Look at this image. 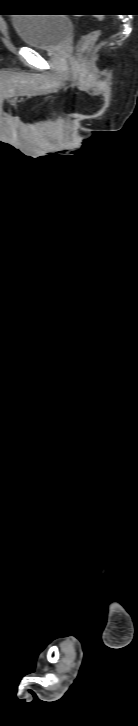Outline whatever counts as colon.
I'll use <instances>...</instances> for the list:
<instances>
[{"label":"colon","instance_id":"colon-1","mask_svg":"<svg viewBox=\"0 0 138 726\" xmlns=\"http://www.w3.org/2000/svg\"><path fill=\"white\" fill-rule=\"evenodd\" d=\"M101 30L100 29H93L85 33L78 41L77 44V52L79 54L84 53L88 47L96 41V39L100 36Z\"/></svg>","mask_w":138,"mask_h":726}]
</instances>
